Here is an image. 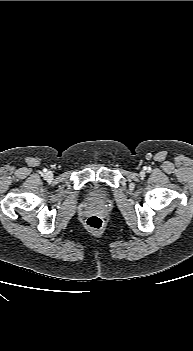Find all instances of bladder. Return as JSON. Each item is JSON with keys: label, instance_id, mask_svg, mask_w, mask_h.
I'll use <instances>...</instances> for the list:
<instances>
[{"label": "bladder", "instance_id": "obj_1", "mask_svg": "<svg viewBox=\"0 0 193 351\" xmlns=\"http://www.w3.org/2000/svg\"><path fill=\"white\" fill-rule=\"evenodd\" d=\"M86 196L89 200H100L107 196V192L101 185L93 183L88 186Z\"/></svg>", "mask_w": 193, "mask_h": 351}]
</instances>
